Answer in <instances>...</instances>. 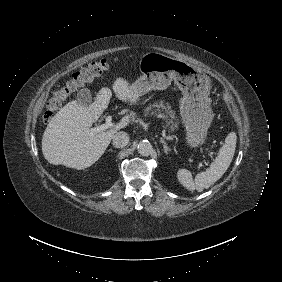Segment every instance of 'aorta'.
Here are the masks:
<instances>
[{"label":"aorta","mask_w":282,"mask_h":282,"mask_svg":"<svg viewBox=\"0 0 282 282\" xmlns=\"http://www.w3.org/2000/svg\"><path fill=\"white\" fill-rule=\"evenodd\" d=\"M152 149V144L147 139L141 140L137 145L138 153L143 156H148Z\"/></svg>","instance_id":"762f6f07"}]
</instances>
